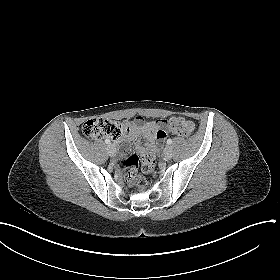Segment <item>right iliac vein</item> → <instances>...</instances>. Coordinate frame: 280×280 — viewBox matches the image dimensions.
Returning <instances> with one entry per match:
<instances>
[{
	"label": "right iliac vein",
	"mask_w": 280,
	"mask_h": 280,
	"mask_svg": "<svg viewBox=\"0 0 280 280\" xmlns=\"http://www.w3.org/2000/svg\"><path fill=\"white\" fill-rule=\"evenodd\" d=\"M107 150H108V154H109L110 156H115V154H116V148H115V146H114L113 144H109Z\"/></svg>",
	"instance_id": "obj_1"
}]
</instances>
